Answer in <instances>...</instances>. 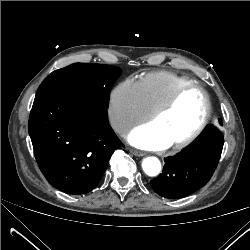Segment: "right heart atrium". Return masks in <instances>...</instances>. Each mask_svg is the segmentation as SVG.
Masks as SVG:
<instances>
[{"label":"right heart atrium","mask_w":250,"mask_h":250,"mask_svg":"<svg viewBox=\"0 0 250 250\" xmlns=\"http://www.w3.org/2000/svg\"><path fill=\"white\" fill-rule=\"evenodd\" d=\"M150 116L138 87L131 79L118 83L109 94L108 118L112 129L124 134Z\"/></svg>","instance_id":"1"}]
</instances>
